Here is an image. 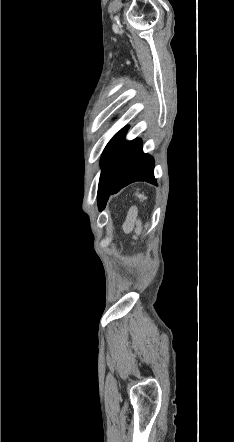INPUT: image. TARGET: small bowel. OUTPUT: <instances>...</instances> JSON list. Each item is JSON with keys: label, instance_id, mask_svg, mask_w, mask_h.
I'll list each match as a JSON object with an SVG mask.
<instances>
[{"label": "small bowel", "instance_id": "obj_1", "mask_svg": "<svg viewBox=\"0 0 234 442\" xmlns=\"http://www.w3.org/2000/svg\"><path fill=\"white\" fill-rule=\"evenodd\" d=\"M138 224V210L136 207H131L128 211L125 223L123 225L124 231L129 233Z\"/></svg>", "mask_w": 234, "mask_h": 442}]
</instances>
